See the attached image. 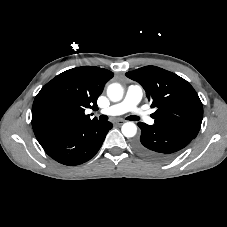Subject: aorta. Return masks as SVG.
<instances>
[{"mask_svg": "<svg viewBox=\"0 0 227 227\" xmlns=\"http://www.w3.org/2000/svg\"><path fill=\"white\" fill-rule=\"evenodd\" d=\"M124 89L119 83H112L107 88V96L112 102L122 100ZM121 131L127 138L134 137L137 133V126L133 122H126L122 125Z\"/></svg>", "mask_w": 227, "mask_h": 227, "instance_id": "762f6f07", "label": "aorta"}]
</instances>
